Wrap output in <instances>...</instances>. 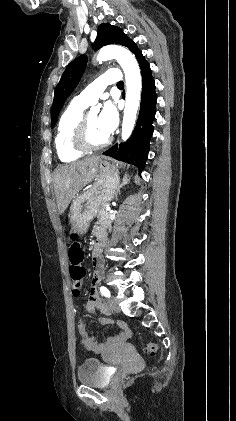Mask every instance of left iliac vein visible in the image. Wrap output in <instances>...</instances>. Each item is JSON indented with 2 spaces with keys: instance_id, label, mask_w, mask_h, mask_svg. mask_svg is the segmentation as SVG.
I'll list each match as a JSON object with an SVG mask.
<instances>
[{
  "instance_id": "4c4485c4",
  "label": "left iliac vein",
  "mask_w": 236,
  "mask_h": 421,
  "mask_svg": "<svg viewBox=\"0 0 236 421\" xmlns=\"http://www.w3.org/2000/svg\"><path fill=\"white\" fill-rule=\"evenodd\" d=\"M108 306L110 308V310H112L113 312H120V308L118 306V299L115 297H112L108 300Z\"/></svg>"
}]
</instances>
